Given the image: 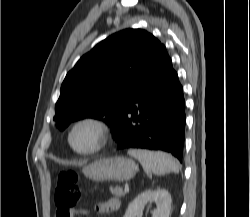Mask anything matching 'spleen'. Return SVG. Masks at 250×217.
<instances>
[{
  "label": "spleen",
  "mask_w": 250,
  "mask_h": 217,
  "mask_svg": "<svg viewBox=\"0 0 250 217\" xmlns=\"http://www.w3.org/2000/svg\"><path fill=\"white\" fill-rule=\"evenodd\" d=\"M128 154L136 158L147 173L164 175L170 172L177 173L179 171L178 162L167 153L143 149H130L128 150Z\"/></svg>",
  "instance_id": "3e777b00"
}]
</instances>
